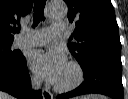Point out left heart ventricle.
<instances>
[{"label":"left heart ventricle","instance_id":"1","mask_svg":"<svg viewBox=\"0 0 128 99\" xmlns=\"http://www.w3.org/2000/svg\"><path fill=\"white\" fill-rule=\"evenodd\" d=\"M75 79V71L68 64L66 65L62 75L56 82L59 85H68Z\"/></svg>","mask_w":128,"mask_h":99}]
</instances>
